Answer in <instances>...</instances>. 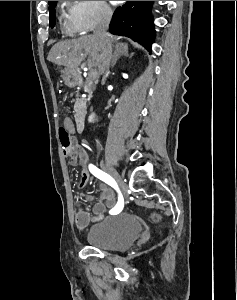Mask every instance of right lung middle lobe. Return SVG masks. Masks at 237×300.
<instances>
[{
    "mask_svg": "<svg viewBox=\"0 0 237 300\" xmlns=\"http://www.w3.org/2000/svg\"><path fill=\"white\" fill-rule=\"evenodd\" d=\"M57 1H53L49 4V13H50V27H54L55 25V6Z\"/></svg>",
    "mask_w": 237,
    "mask_h": 300,
    "instance_id": "1",
    "label": "right lung middle lobe"
}]
</instances>
